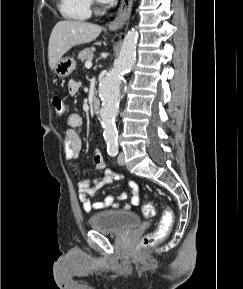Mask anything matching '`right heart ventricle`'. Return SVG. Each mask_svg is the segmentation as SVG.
I'll list each match as a JSON object with an SVG mask.
<instances>
[{
	"mask_svg": "<svg viewBox=\"0 0 243 289\" xmlns=\"http://www.w3.org/2000/svg\"><path fill=\"white\" fill-rule=\"evenodd\" d=\"M58 10L69 20L84 21L90 18V0H59Z\"/></svg>",
	"mask_w": 243,
	"mask_h": 289,
	"instance_id": "e07e8e85",
	"label": "right heart ventricle"
}]
</instances>
